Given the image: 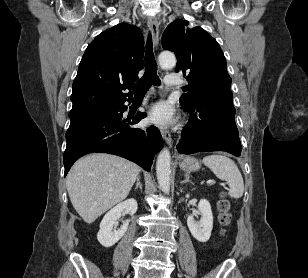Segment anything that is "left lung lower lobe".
Instances as JSON below:
<instances>
[{
  "label": "left lung lower lobe",
  "mask_w": 308,
  "mask_h": 278,
  "mask_svg": "<svg viewBox=\"0 0 308 278\" xmlns=\"http://www.w3.org/2000/svg\"><path fill=\"white\" fill-rule=\"evenodd\" d=\"M232 98L231 90H221L204 96L191 107H183L190 118L177 145L179 153L226 151L240 156L242 146Z\"/></svg>",
  "instance_id": "obj_1"
}]
</instances>
